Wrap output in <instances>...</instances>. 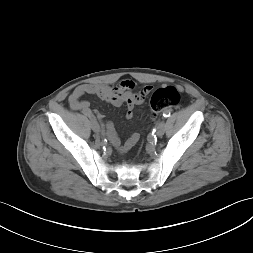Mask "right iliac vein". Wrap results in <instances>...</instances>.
<instances>
[{"mask_svg": "<svg viewBox=\"0 0 253 253\" xmlns=\"http://www.w3.org/2000/svg\"><path fill=\"white\" fill-rule=\"evenodd\" d=\"M91 128L97 134L100 132V126L94 118H91Z\"/></svg>", "mask_w": 253, "mask_h": 253, "instance_id": "63e3f726", "label": "right iliac vein"}]
</instances>
